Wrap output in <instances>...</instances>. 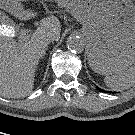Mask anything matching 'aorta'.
<instances>
[{
	"mask_svg": "<svg viewBox=\"0 0 135 135\" xmlns=\"http://www.w3.org/2000/svg\"><path fill=\"white\" fill-rule=\"evenodd\" d=\"M67 47L74 53H81L85 47V41L81 36L72 35L67 40Z\"/></svg>",
	"mask_w": 135,
	"mask_h": 135,
	"instance_id": "1",
	"label": "aorta"
}]
</instances>
